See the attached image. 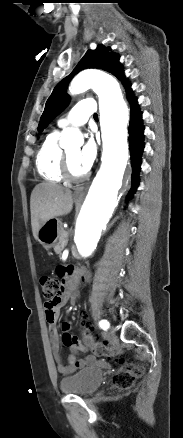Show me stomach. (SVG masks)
I'll return each instance as SVG.
<instances>
[{"label":"stomach","instance_id":"stomach-1","mask_svg":"<svg viewBox=\"0 0 183 438\" xmlns=\"http://www.w3.org/2000/svg\"><path fill=\"white\" fill-rule=\"evenodd\" d=\"M62 230L60 220L50 219L39 229L38 241L46 250H49L56 245Z\"/></svg>","mask_w":183,"mask_h":438}]
</instances>
